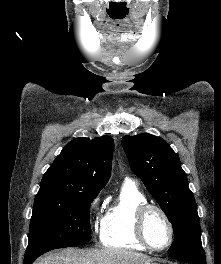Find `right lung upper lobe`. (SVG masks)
<instances>
[{"label": "right lung upper lobe", "mask_w": 221, "mask_h": 264, "mask_svg": "<svg viewBox=\"0 0 221 264\" xmlns=\"http://www.w3.org/2000/svg\"><path fill=\"white\" fill-rule=\"evenodd\" d=\"M114 141L110 136L69 142L43 175L38 194H95L111 173Z\"/></svg>", "instance_id": "obj_1"}]
</instances>
